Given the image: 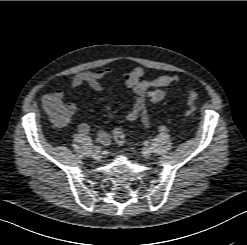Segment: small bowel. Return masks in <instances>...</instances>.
Instances as JSON below:
<instances>
[{
    "label": "small bowel",
    "mask_w": 247,
    "mask_h": 245,
    "mask_svg": "<svg viewBox=\"0 0 247 245\" xmlns=\"http://www.w3.org/2000/svg\"><path fill=\"white\" fill-rule=\"evenodd\" d=\"M148 73V70L143 67H136L130 71H116L111 68H100L95 71H81L75 74L70 80V86L72 88L80 87L83 84L88 85L92 90L96 92H103L105 86L103 80L106 77L112 75L120 76L125 85L132 91L133 103L127 112V119L129 121L140 120L145 127L151 126V118L146 105V95L150 88H162L172 83L178 82V75H161L156 78L145 80L143 77ZM64 92L57 89L51 93H48L43 98V105L47 110L53 104H63L67 110L68 118L63 124L68 123L76 114L77 106L74 103L63 102ZM77 131L80 134H89L95 129L87 124L80 123L77 126ZM97 139L103 145H108L111 142V137L105 130H96Z\"/></svg>",
    "instance_id": "obj_1"
}]
</instances>
